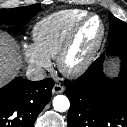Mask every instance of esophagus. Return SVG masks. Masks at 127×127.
I'll return each mask as SVG.
<instances>
[{"instance_id":"esophagus-1","label":"esophagus","mask_w":127,"mask_h":127,"mask_svg":"<svg viewBox=\"0 0 127 127\" xmlns=\"http://www.w3.org/2000/svg\"><path fill=\"white\" fill-rule=\"evenodd\" d=\"M63 91H64V87L61 86L60 84H55L52 88L53 94H59V93H62Z\"/></svg>"}]
</instances>
